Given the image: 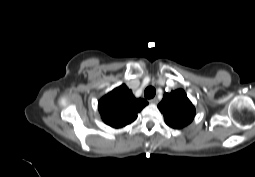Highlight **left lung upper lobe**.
I'll return each instance as SVG.
<instances>
[{
    "instance_id": "1",
    "label": "left lung upper lobe",
    "mask_w": 255,
    "mask_h": 177,
    "mask_svg": "<svg viewBox=\"0 0 255 177\" xmlns=\"http://www.w3.org/2000/svg\"><path fill=\"white\" fill-rule=\"evenodd\" d=\"M165 122L174 129H182L190 124L195 116V107L183 89L165 93L158 105Z\"/></svg>"
}]
</instances>
